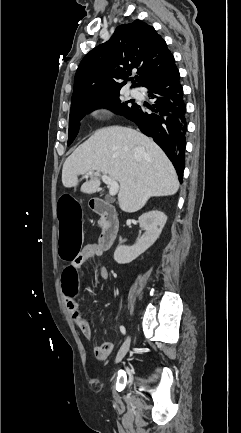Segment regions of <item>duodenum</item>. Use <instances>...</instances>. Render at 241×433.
Returning <instances> with one entry per match:
<instances>
[{
  "instance_id": "1",
  "label": "duodenum",
  "mask_w": 241,
  "mask_h": 433,
  "mask_svg": "<svg viewBox=\"0 0 241 433\" xmlns=\"http://www.w3.org/2000/svg\"><path fill=\"white\" fill-rule=\"evenodd\" d=\"M91 209L102 218V229L99 237V247L106 251L112 247L119 231V218L115 209L101 198H91Z\"/></svg>"
}]
</instances>
